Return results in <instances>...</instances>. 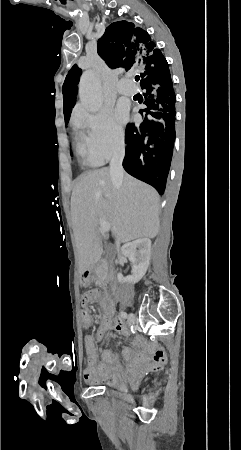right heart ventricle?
<instances>
[{"label": "right heart ventricle", "instance_id": "1", "mask_svg": "<svg viewBox=\"0 0 241 450\" xmlns=\"http://www.w3.org/2000/svg\"><path fill=\"white\" fill-rule=\"evenodd\" d=\"M81 116H84V115H81ZM74 140H75L76 153L84 165L99 166L103 163V161L98 159L95 155H86L84 153V148H85L84 130H76L75 129Z\"/></svg>", "mask_w": 241, "mask_h": 450}]
</instances>
